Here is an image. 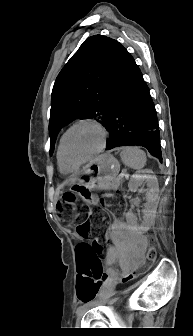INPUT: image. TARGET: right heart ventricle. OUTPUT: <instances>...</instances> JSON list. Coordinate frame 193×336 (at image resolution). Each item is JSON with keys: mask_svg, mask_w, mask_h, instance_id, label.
Instances as JSON below:
<instances>
[{"mask_svg": "<svg viewBox=\"0 0 193 336\" xmlns=\"http://www.w3.org/2000/svg\"><path fill=\"white\" fill-rule=\"evenodd\" d=\"M61 141V140H60ZM57 162L58 167L61 173L63 174H71L78 171L80 165H70L63 159L60 151V143L57 150Z\"/></svg>", "mask_w": 193, "mask_h": 336, "instance_id": "e07e8e85", "label": "right heart ventricle"}]
</instances>
